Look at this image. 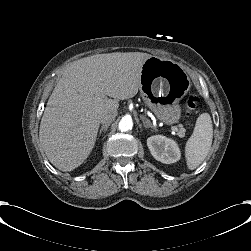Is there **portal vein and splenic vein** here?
I'll return each mask as SVG.
<instances>
[{
    "mask_svg": "<svg viewBox=\"0 0 251 251\" xmlns=\"http://www.w3.org/2000/svg\"><path fill=\"white\" fill-rule=\"evenodd\" d=\"M104 98H105V96L103 94H100V95L96 96L97 101H103ZM169 128H171L173 131L177 130V126H175V125H169Z\"/></svg>",
    "mask_w": 251,
    "mask_h": 251,
    "instance_id": "obj_1",
    "label": "portal vein and splenic vein"
}]
</instances>
